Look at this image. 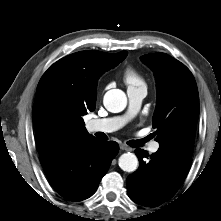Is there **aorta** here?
I'll return each instance as SVG.
<instances>
[{"mask_svg": "<svg viewBox=\"0 0 221 221\" xmlns=\"http://www.w3.org/2000/svg\"><path fill=\"white\" fill-rule=\"evenodd\" d=\"M105 108L112 113L123 111L127 105L126 94L120 89H112L104 95ZM119 167L126 172H133L138 167V159L133 153H124L119 157Z\"/></svg>", "mask_w": 221, "mask_h": 221, "instance_id": "762f6f07", "label": "aorta"}]
</instances>
